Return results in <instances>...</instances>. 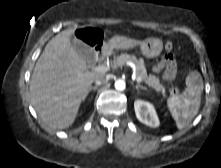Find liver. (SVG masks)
<instances>
[{
	"mask_svg": "<svg viewBox=\"0 0 221 168\" xmlns=\"http://www.w3.org/2000/svg\"><path fill=\"white\" fill-rule=\"evenodd\" d=\"M74 31L64 30L47 43L30 80L31 104L40 119L53 129H66L74 123L92 83L104 74L87 69L86 61L71 45ZM140 43L116 35L109 40L107 48L127 50Z\"/></svg>",
	"mask_w": 221,
	"mask_h": 168,
	"instance_id": "1",
	"label": "liver"
}]
</instances>
